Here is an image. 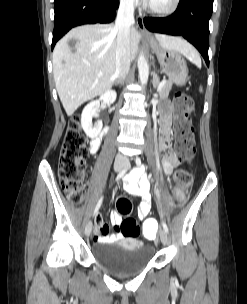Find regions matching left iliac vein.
Instances as JSON below:
<instances>
[{"label": "left iliac vein", "instance_id": "4c4485c4", "mask_svg": "<svg viewBox=\"0 0 247 304\" xmlns=\"http://www.w3.org/2000/svg\"><path fill=\"white\" fill-rule=\"evenodd\" d=\"M127 166H130L129 164ZM160 239H161V242L163 244H166L168 242V235H167V232L165 230H162L160 232Z\"/></svg>", "mask_w": 247, "mask_h": 304}]
</instances>
